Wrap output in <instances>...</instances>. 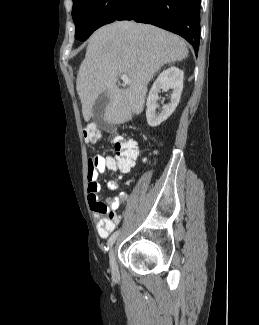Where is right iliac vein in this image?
<instances>
[{
	"label": "right iliac vein",
	"instance_id": "obj_1",
	"mask_svg": "<svg viewBox=\"0 0 259 325\" xmlns=\"http://www.w3.org/2000/svg\"><path fill=\"white\" fill-rule=\"evenodd\" d=\"M109 263H110V269H111L112 275L117 276L118 268H117L116 259H115L114 247H112L109 252Z\"/></svg>",
	"mask_w": 259,
	"mask_h": 325
}]
</instances>
